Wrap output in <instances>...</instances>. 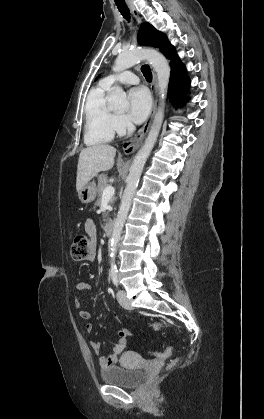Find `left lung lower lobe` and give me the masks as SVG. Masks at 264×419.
I'll list each match as a JSON object with an SVG mask.
<instances>
[{"label": "left lung lower lobe", "instance_id": "obj_1", "mask_svg": "<svg viewBox=\"0 0 264 419\" xmlns=\"http://www.w3.org/2000/svg\"><path fill=\"white\" fill-rule=\"evenodd\" d=\"M163 54L172 60L170 62L169 97L174 103H180L181 98L189 88V79L186 76L185 66L181 63L174 47L171 51L163 52Z\"/></svg>", "mask_w": 264, "mask_h": 419}]
</instances>
